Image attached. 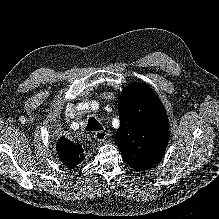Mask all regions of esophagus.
Wrapping results in <instances>:
<instances>
[{"label": "esophagus", "mask_w": 219, "mask_h": 219, "mask_svg": "<svg viewBox=\"0 0 219 219\" xmlns=\"http://www.w3.org/2000/svg\"><path fill=\"white\" fill-rule=\"evenodd\" d=\"M107 132L106 131H98L94 134V138L98 141V142H104L107 138Z\"/></svg>", "instance_id": "obj_1"}]
</instances>
